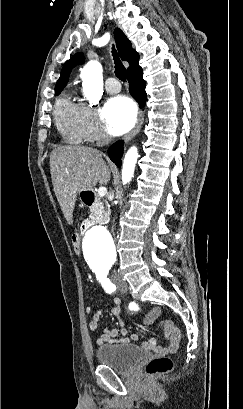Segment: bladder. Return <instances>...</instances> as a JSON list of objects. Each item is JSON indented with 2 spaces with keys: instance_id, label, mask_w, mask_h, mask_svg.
Returning <instances> with one entry per match:
<instances>
[{
  "instance_id": "31cf9c89",
  "label": "bladder",
  "mask_w": 243,
  "mask_h": 409,
  "mask_svg": "<svg viewBox=\"0 0 243 409\" xmlns=\"http://www.w3.org/2000/svg\"><path fill=\"white\" fill-rule=\"evenodd\" d=\"M147 355L145 349L128 343L102 345L96 350L98 362L118 373H128Z\"/></svg>"
}]
</instances>
